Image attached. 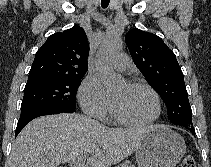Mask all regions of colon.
Listing matches in <instances>:
<instances>
[{
  "label": "colon",
  "mask_w": 211,
  "mask_h": 167,
  "mask_svg": "<svg viewBox=\"0 0 211 167\" xmlns=\"http://www.w3.org/2000/svg\"><path fill=\"white\" fill-rule=\"evenodd\" d=\"M178 167H198V165L191 155H186Z\"/></svg>",
  "instance_id": "5ec220e1"
}]
</instances>
